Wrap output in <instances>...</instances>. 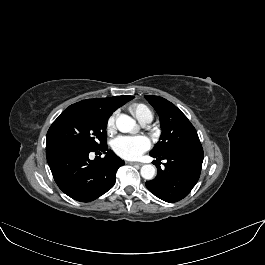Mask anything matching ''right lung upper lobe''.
Returning a JSON list of instances; mask_svg holds the SVG:
<instances>
[{"label":"right lung upper lobe","instance_id":"right-lung-upper-lobe-1","mask_svg":"<svg viewBox=\"0 0 265 265\" xmlns=\"http://www.w3.org/2000/svg\"><path fill=\"white\" fill-rule=\"evenodd\" d=\"M134 96H119V97H109V98H97V99H87L80 101L75 104L87 105L99 109L101 112L110 116L117 108L125 104L127 101L133 99Z\"/></svg>","mask_w":265,"mask_h":265}]
</instances>
